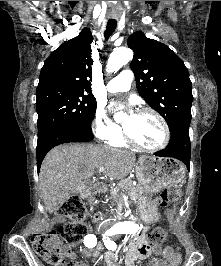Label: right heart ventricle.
Masks as SVG:
<instances>
[{"label": "right heart ventricle", "mask_w": 221, "mask_h": 266, "mask_svg": "<svg viewBox=\"0 0 221 266\" xmlns=\"http://www.w3.org/2000/svg\"><path fill=\"white\" fill-rule=\"evenodd\" d=\"M110 145L118 148H123L127 146L126 141L122 135L110 140Z\"/></svg>", "instance_id": "obj_1"}]
</instances>
